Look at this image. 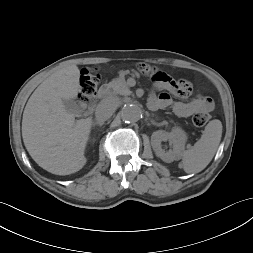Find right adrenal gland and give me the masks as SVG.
<instances>
[{"instance_id":"1","label":"right adrenal gland","mask_w":253,"mask_h":253,"mask_svg":"<svg viewBox=\"0 0 253 253\" xmlns=\"http://www.w3.org/2000/svg\"><path fill=\"white\" fill-rule=\"evenodd\" d=\"M103 124H104V122H100V121H97V122H95L94 124H93V126H96V125H98V126H103Z\"/></svg>"}]
</instances>
